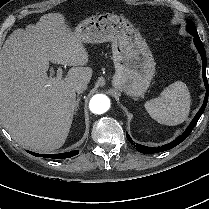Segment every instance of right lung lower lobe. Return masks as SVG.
<instances>
[{
    "label": "right lung lower lobe",
    "mask_w": 209,
    "mask_h": 209,
    "mask_svg": "<svg viewBox=\"0 0 209 209\" xmlns=\"http://www.w3.org/2000/svg\"><path fill=\"white\" fill-rule=\"evenodd\" d=\"M29 153L36 156V157L42 156V157H46V158L65 159V158H70V157L77 155L79 153V151L75 150V151H70V152H65V153H60V154H44V155H40V154L34 153V152H29Z\"/></svg>",
    "instance_id": "98d812e1"
}]
</instances>
